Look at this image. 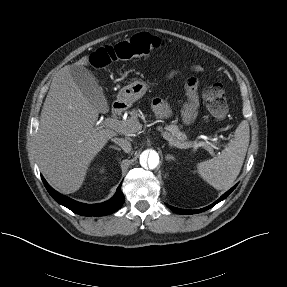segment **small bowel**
<instances>
[{"mask_svg": "<svg viewBox=\"0 0 287 287\" xmlns=\"http://www.w3.org/2000/svg\"><path fill=\"white\" fill-rule=\"evenodd\" d=\"M194 72H201L200 67H195ZM177 72L172 71L168 74V78L175 76ZM186 89L188 93V101L182 112V119L185 124H190L195 116L198 106V95H197V81L194 77L187 79L186 81ZM153 109L157 116L160 118H166L170 115L169 108L167 104L160 98H156L153 101Z\"/></svg>", "mask_w": 287, "mask_h": 287, "instance_id": "1", "label": "small bowel"}]
</instances>
